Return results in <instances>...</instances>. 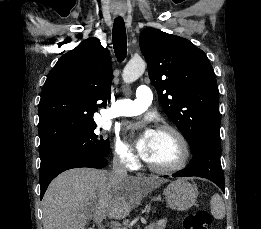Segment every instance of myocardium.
I'll return each instance as SVG.
<instances>
[{
  "label": "myocardium",
  "mask_w": 261,
  "mask_h": 229,
  "mask_svg": "<svg viewBox=\"0 0 261 229\" xmlns=\"http://www.w3.org/2000/svg\"><path fill=\"white\" fill-rule=\"evenodd\" d=\"M156 131L170 133L174 137V139L179 147L180 155H179L178 160L172 165L158 166V165H154L153 163L148 161L146 158H144L145 164L151 171L157 172V173H173V172L182 170L186 166L188 159H189V154H190L189 146H188V143H187L185 137L177 128H175L171 125H167V124L160 125Z\"/></svg>",
  "instance_id": "f54148a6"
}]
</instances>
